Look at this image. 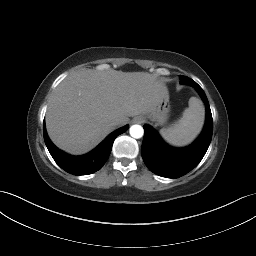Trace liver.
Returning <instances> with one entry per match:
<instances>
[{"label": "liver", "mask_w": 256, "mask_h": 256, "mask_svg": "<svg viewBox=\"0 0 256 256\" xmlns=\"http://www.w3.org/2000/svg\"><path fill=\"white\" fill-rule=\"evenodd\" d=\"M168 93L165 84L147 72L82 70L67 76L54 90L46 113L50 139L60 149L84 154L116 126L147 114Z\"/></svg>", "instance_id": "liver-1"}]
</instances>
